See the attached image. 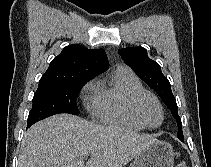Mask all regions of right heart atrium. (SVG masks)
Here are the masks:
<instances>
[{
    "label": "right heart atrium",
    "instance_id": "obj_1",
    "mask_svg": "<svg viewBox=\"0 0 211 167\" xmlns=\"http://www.w3.org/2000/svg\"><path fill=\"white\" fill-rule=\"evenodd\" d=\"M99 92V82L97 79H92L86 83L83 88L84 103L89 110H93Z\"/></svg>",
    "mask_w": 211,
    "mask_h": 167
}]
</instances>
